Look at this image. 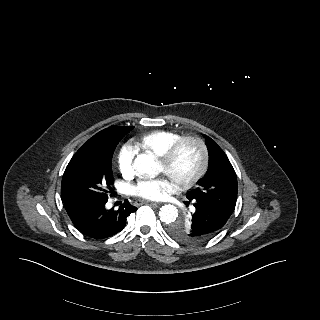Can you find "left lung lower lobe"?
I'll use <instances>...</instances> for the list:
<instances>
[{
    "label": "left lung lower lobe",
    "instance_id": "obj_1",
    "mask_svg": "<svg viewBox=\"0 0 320 320\" xmlns=\"http://www.w3.org/2000/svg\"><path fill=\"white\" fill-rule=\"evenodd\" d=\"M193 220L195 229L192 234L201 242L216 235L225 225L230 215L202 200H194Z\"/></svg>",
    "mask_w": 320,
    "mask_h": 320
}]
</instances>
